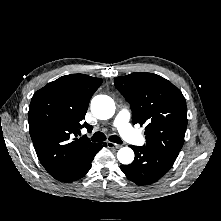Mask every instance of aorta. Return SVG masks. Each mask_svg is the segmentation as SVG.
<instances>
[{
  "label": "aorta",
  "mask_w": 221,
  "mask_h": 221,
  "mask_svg": "<svg viewBox=\"0 0 221 221\" xmlns=\"http://www.w3.org/2000/svg\"><path fill=\"white\" fill-rule=\"evenodd\" d=\"M91 112L100 120L109 119L115 113V103L107 95H97L91 100ZM117 158L120 163L128 165L134 160V152L129 147H122L117 153Z\"/></svg>",
  "instance_id": "aorta-1"
}]
</instances>
